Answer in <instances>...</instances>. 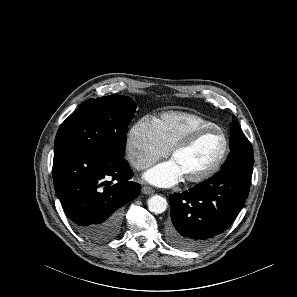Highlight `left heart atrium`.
<instances>
[{"label": "left heart atrium", "instance_id": "1", "mask_svg": "<svg viewBox=\"0 0 297 297\" xmlns=\"http://www.w3.org/2000/svg\"><path fill=\"white\" fill-rule=\"evenodd\" d=\"M144 178L153 185L169 187L178 183L183 176L178 166L170 160L151 168Z\"/></svg>", "mask_w": 297, "mask_h": 297}]
</instances>
